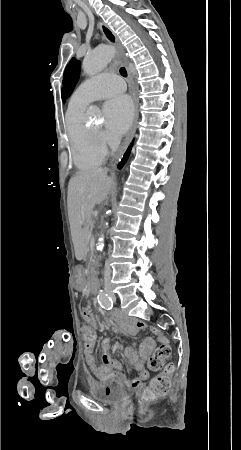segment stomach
<instances>
[{
	"label": "stomach",
	"mask_w": 241,
	"mask_h": 450,
	"mask_svg": "<svg viewBox=\"0 0 241 450\" xmlns=\"http://www.w3.org/2000/svg\"><path fill=\"white\" fill-rule=\"evenodd\" d=\"M72 280L78 289H82L85 285V276L80 267H76L72 276Z\"/></svg>",
	"instance_id": "0dacf381"
}]
</instances>
